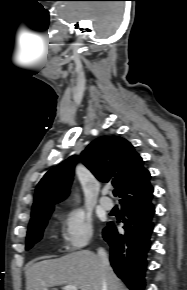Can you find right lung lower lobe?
Here are the masks:
<instances>
[{
    "label": "right lung lower lobe",
    "instance_id": "right-lung-lower-lobe-1",
    "mask_svg": "<svg viewBox=\"0 0 187 290\" xmlns=\"http://www.w3.org/2000/svg\"><path fill=\"white\" fill-rule=\"evenodd\" d=\"M152 196L137 203L122 205L124 232L109 222L103 238L110 245V263L130 290H143L146 257L150 249L155 207Z\"/></svg>",
    "mask_w": 187,
    "mask_h": 290
}]
</instances>
